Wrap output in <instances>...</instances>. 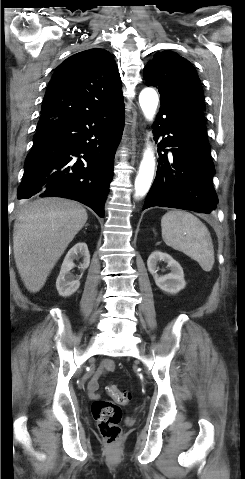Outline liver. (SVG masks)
<instances>
[{"instance_id": "liver-1", "label": "liver", "mask_w": 245, "mask_h": 479, "mask_svg": "<svg viewBox=\"0 0 245 479\" xmlns=\"http://www.w3.org/2000/svg\"><path fill=\"white\" fill-rule=\"evenodd\" d=\"M86 210L63 198L26 203L17 212L13 252L20 277L30 292H38L70 242L87 222Z\"/></svg>"}]
</instances>
